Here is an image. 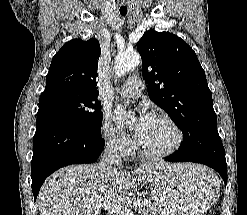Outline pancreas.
I'll list each match as a JSON object with an SVG mask.
<instances>
[{"instance_id": "pancreas-1", "label": "pancreas", "mask_w": 247, "mask_h": 215, "mask_svg": "<svg viewBox=\"0 0 247 215\" xmlns=\"http://www.w3.org/2000/svg\"><path fill=\"white\" fill-rule=\"evenodd\" d=\"M138 210L141 215H157V210L154 208V205L149 202H140Z\"/></svg>"}]
</instances>
